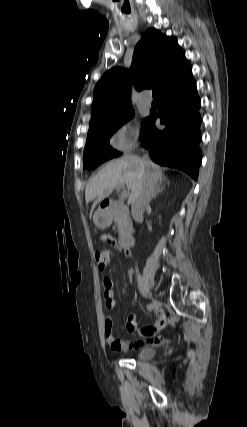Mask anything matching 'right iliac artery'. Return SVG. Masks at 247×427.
<instances>
[{"instance_id": "obj_1", "label": "right iliac artery", "mask_w": 247, "mask_h": 427, "mask_svg": "<svg viewBox=\"0 0 247 427\" xmlns=\"http://www.w3.org/2000/svg\"><path fill=\"white\" fill-rule=\"evenodd\" d=\"M152 308H153V307H152V304H148V305H147V310L151 311V310H152Z\"/></svg>"}]
</instances>
